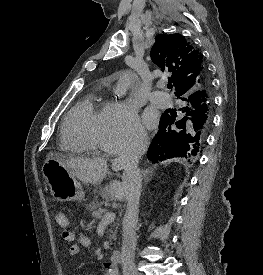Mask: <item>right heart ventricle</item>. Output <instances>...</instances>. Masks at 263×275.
<instances>
[{
    "label": "right heart ventricle",
    "mask_w": 263,
    "mask_h": 275,
    "mask_svg": "<svg viewBox=\"0 0 263 275\" xmlns=\"http://www.w3.org/2000/svg\"><path fill=\"white\" fill-rule=\"evenodd\" d=\"M106 104L98 105L88 95L67 113L61 130V147L72 153H94L103 149Z\"/></svg>",
    "instance_id": "obj_1"
}]
</instances>
